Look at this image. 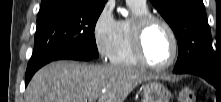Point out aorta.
I'll use <instances>...</instances> for the list:
<instances>
[{"label":"aorta","instance_id":"1","mask_svg":"<svg viewBox=\"0 0 221 102\" xmlns=\"http://www.w3.org/2000/svg\"><path fill=\"white\" fill-rule=\"evenodd\" d=\"M120 13H121L123 16H125V17L128 15V11L125 10V9H121V10H120Z\"/></svg>","mask_w":221,"mask_h":102}]
</instances>
